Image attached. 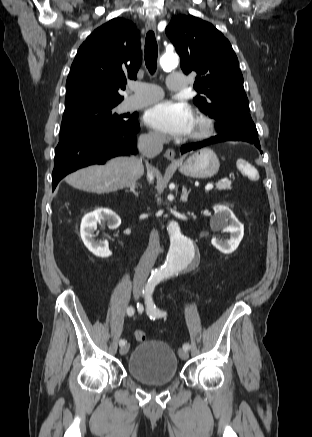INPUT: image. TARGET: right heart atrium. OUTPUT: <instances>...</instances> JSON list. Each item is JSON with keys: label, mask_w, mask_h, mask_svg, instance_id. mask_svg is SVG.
I'll list each match as a JSON object with an SVG mask.
<instances>
[{"label": "right heart atrium", "mask_w": 312, "mask_h": 437, "mask_svg": "<svg viewBox=\"0 0 312 437\" xmlns=\"http://www.w3.org/2000/svg\"><path fill=\"white\" fill-rule=\"evenodd\" d=\"M149 137H150V139H152V140H159V139H160V136H159L157 133H155V132H151V133L149 134Z\"/></svg>", "instance_id": "obj_1"}]
</instances>
